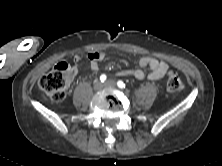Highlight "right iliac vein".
I'll use <instances>...</instances> for the list:
<instances>
[{
	"instance_id": "right-iliac-vein-1",
	"label": "right iliac vein",
	"mask_w": 222,
	"mask_h": 166,
	"mask_svg": "<svg viewBox=\"0 0 222 166\" xmlns=\"http://www.w3.org/2000/svg\"><path fill=\"white\" fill-rule=\"evenodd\" d=\"M103 83L101 82V81H96L95 83H94V89L95 90H101V89H103Z\"/></svg>"
}]
</instances>
